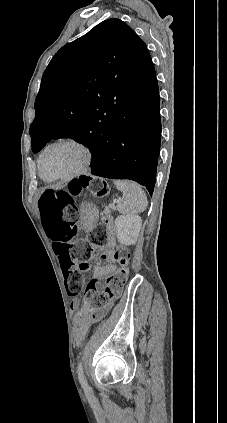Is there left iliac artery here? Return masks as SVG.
<instances>
[{
	"label": "left iliac artery",
	"instance_id": "44dca946",
	"mask_svg": "<svg viewBox=\"0 0 227 423\" xmlns=\"http://www.w3.org/2000/svg\"><path fill=\"white\" fill-rule=\"evenodd\" d=\"M77 374H78V379H79V382H80L83 390L85 392H87L90 389V386L88 385V383L86 381V378H85V375H84V372H83V367H82V363L81 362H79V364H78Z\"/></svg>",
	"mask_w": 227,
	"mask_h": 423
}]
</instances>
